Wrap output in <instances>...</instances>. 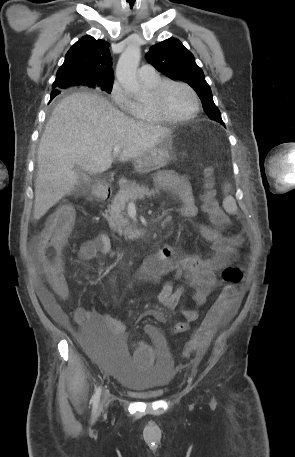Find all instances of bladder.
<instances>
[{"label": "bladder", "instance_id": "bladder-1", "mask_svg": "<svg viewBox=\"0 0 295 457\" xmlns=\"http://www.w3.org/2000/svg\"><path fill=\"white\" fill-rule=\"evenodd\" d=\"M83 356H91L97 365L113 373L121 386L145 398L160 397L172 380L170 348L156 345L153 366H132L125 338H81Z\"/></svg>", "mask_w": 295, "mask_h": 457}]
</instances>
